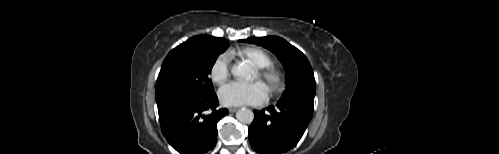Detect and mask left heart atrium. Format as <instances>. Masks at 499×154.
<instances>
[{
	"instance_id": "1",
	"label": "left heart atrium",
	"mask_w": 499,
	"mask_h": 154,
	"mask_svg": "<svg viewBox=\"0 0 499 154\" xmlns=\"http://www.w3.org/2000/svg\"><path fill=\"white\" fill-rule=\"evenodd\" d=\"M221 103L225 106L261 105L268 99L266 87L261 82H231L218 92Z\"/></svg>"
}]
</instances>
